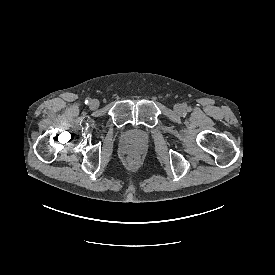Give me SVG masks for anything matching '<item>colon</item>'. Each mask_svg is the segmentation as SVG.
<instances>
[{
	"label": "colon",
	"instance_id": "obj_1",
	"mask_svg": "<svg viewBox=\"0 0 275 275\" xmlns=\"http://www.w3.org/2000/svg\"><path fill=\"white\" fill-rule=\"evenodd\" d=\"M132 161H133V162L137 161V158H136V157H133V158H132Z\"/></svg>",
	"mask_w": 275,
	"mask_h": 275
}]
</instances>
